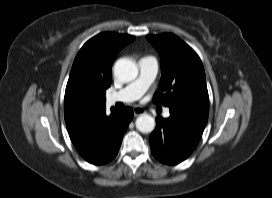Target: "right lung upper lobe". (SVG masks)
Returning <instances> with one entry per match:
<instances>
[{"mask_svg":"<svg viewBox=\"0 0 272 198\" xmlns=\"http://www.w3.org/2000/svg\"><path fill=\"white\" fill-rule=\"evenodd\" d=\"M131 35L104 32L87 41L78 52L64 98L67 129L70 130L105 108L106 89L111 85V65Z\"/></svg>","mask_w":272,"mask_h":198,"instance_id":"obj_1","label":"right lung upper lobe"}]
</instances>
